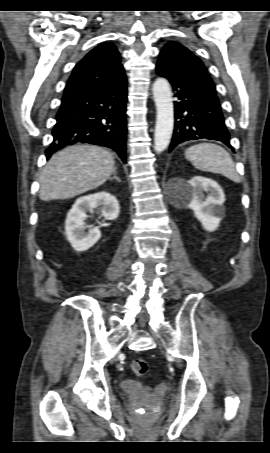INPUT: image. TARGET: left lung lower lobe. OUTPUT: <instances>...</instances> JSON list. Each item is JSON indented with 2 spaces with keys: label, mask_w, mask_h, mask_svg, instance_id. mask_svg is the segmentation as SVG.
I'll return each mask as SVG.
<instances>
[{
  "label": "left lung lower lobe",
  "mask_w": 270,
  "mask_h": 453,
  "mask_svg": "<svg viewBox=\"0 0 270 453\" xmlns=\"http://www.w3.org/2000/svg\"><path fill=\"white\" fill-rule=\"evenodd\" d=\"M156 69L158 75L170 81L178 98L175 119L179 120L175 122L169 151L184 141L201 138L221 141L233 150L215 87L180 72L166 61L158 60Z\"/></svg>",
  "instance_id": "obj_1"
}]
</instances>
